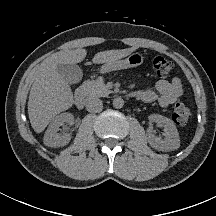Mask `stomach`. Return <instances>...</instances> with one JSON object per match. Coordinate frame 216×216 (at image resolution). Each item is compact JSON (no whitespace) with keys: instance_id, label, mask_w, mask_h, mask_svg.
Wrapping results in <instances>:
<instances>
[{"instance_id":"obj_1","label":"stomach","mask_w":216,"mask_h":216,"mask_svg":"<svg viewBox=\"0 0 216 216\" xmlns=\"http://www.w3.org/2000/svg\"><path fill=\"white\" fill-rule=\"evenodd\" d=\"M144 61V57L140 53H132L126 59L119 60L114 63L105 65L101 68V73H106L115 70L127 69L140 66Z\"/></svg>"}]
</instances>
